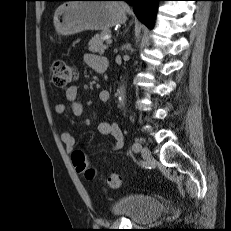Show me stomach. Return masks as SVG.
I'll return each mask as SVG.
<instances>
[{
  "label": "stomach",
  "mask_w": 231,
  "mask_h": 231,
  "mask_svg": "<svg viewBox=\"0 0 231 231\" xmlns=\"http://www.w3.org/2000/svg\"><path fill=\"white\" fill-rule=\"evenodd\" d=\"M123 3L106 0H78L60 5L53 17L56 31L69 36L83 31H108L125 23Z\"/></svg>",
  "instance_id": "1"
}]
</instances>
